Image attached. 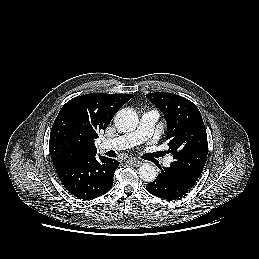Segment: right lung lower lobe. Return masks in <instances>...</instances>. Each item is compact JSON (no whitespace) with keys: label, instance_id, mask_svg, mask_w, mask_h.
<instances>
[{"label":"right lung lower lobe","instance_id":"obj_1","mask_svg":"<svg viewBox=\"0 0 259 259\" xmlns=\"http://www.w3.org/2000/svg\"><path fill=\"white\" fill-rule=\"evenodd\" d=\"M119 162L104 156L75 158L58 167L56 173L64 187L74 196L91 200L107 193L113 185Z\"/></svg>","mask_w":259,"mask_h":259}]
</instances>
